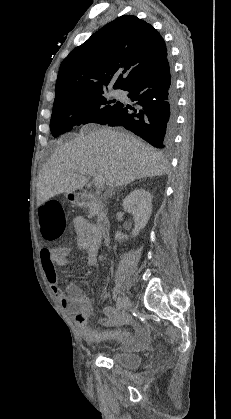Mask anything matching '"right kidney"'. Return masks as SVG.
<instances>
[{"label":"right kidney","instance_id":"1","mask_svg":"<svg viewBox=\"0 0 231 419\" xmlns=\"http://www.w3.org/2000/svg\"><path fill=\"white\" fill-rule=\"evenodd\" d=\"M123 208L134 217L135 227L131 237H136L145 228L152 214V196L143 188L131 191L123 200ZM127 240L128 236L121 232H116L115 239L119 242Z\"/></svg>","mask_w":231,"mask_h":419}]
</instances>
